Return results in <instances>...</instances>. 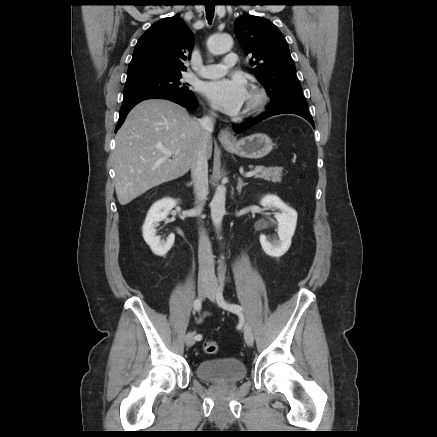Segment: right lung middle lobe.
I'll list each match as a JSON object with an SVG mask.
<instances>
[{
	"label": "right lung middle lobe",
	"instance_id": "1",
	"mask_svg": "<svg viewBox=\"0 0 437 437\" xmlns=\"http://www.w3.org/2000/svg\"><path fill=\"white\" fill-rule=\"evenodd\" d=\"M181 73L141 72L127 74L124 104L157 94L193 95L180 81Z\"/></svg>",
	"mask_w": 437,
	"mask_h": 437
}]
</instances>
